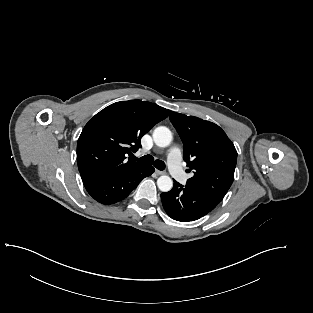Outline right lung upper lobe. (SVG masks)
<instances>
[{
    "mask_svg": "<svg viewBox=\"0 0 313 313\" xmlns=\"http://www.w3.org/2000/svg\"><path fill=\"white\" fill-rule=\"evenodd\" d=\"M170 110L141 100L114 103L97 113L84 127L77 144L82 181L118 175L144 165L127 160L140 140Z\"/></svg>",
    "mask_w": 313,
    "mask_h": 313,
    "instance_id": "right-lung-upper-lobe-1",
    "label": "right lung upper lobe"
}]
</instances>
